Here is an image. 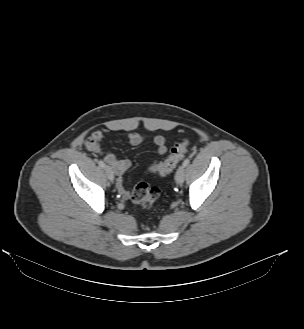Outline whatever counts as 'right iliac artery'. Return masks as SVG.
Listing matches in <instances>:
<instances>
[{
    "instance_id": "obj_1",
    "label": "right iliac artery",
    "mask_w": 304,
    "mask_h": 329,
    "mask_svg": "<svg viewBox=\"0 0 304 329\" xmlns=\"http://www.w3.org/2000/svg\"><path fill=\"white\" fill-rule=\"evenodd\" d=\"M98 163L101 167H105V163L103 161L100 160Z\"/></svg>"
}]
</instances>
